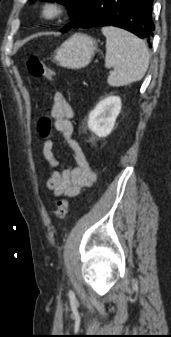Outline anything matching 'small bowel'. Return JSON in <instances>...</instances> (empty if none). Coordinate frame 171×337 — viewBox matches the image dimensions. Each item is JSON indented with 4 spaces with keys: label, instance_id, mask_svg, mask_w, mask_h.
<instances>
[{
    "label": "small bowel",
    "instance_id": "c3829d8e",
    "mask_svg": "<svg viewBox=\"0 0 171 337\" xmlns=\"http://www.w3.org/2000/svg\"><path fill=\"white\" fill-rule=\"evenodd\" d=\"M51 115L54 119L55 130L62 134L74 154L76 165L58 170L60 161L53 150V140L44 142L42 153L53 171L47 181V190L56 197H75L84 187L91 186L96 180V173L89 165L85 153L73 138L74 127L71 119L75 113L65 96L56 92L53 95Z\"/></svg>",
    "mask_w": 171,
    "mask_h": 337
}]
</instances>
